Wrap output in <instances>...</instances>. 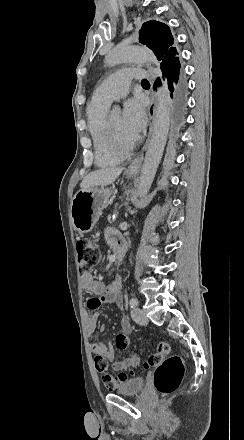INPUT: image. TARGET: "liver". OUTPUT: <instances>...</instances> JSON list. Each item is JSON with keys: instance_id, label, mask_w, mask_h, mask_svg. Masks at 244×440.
I'll return each instance as SVG.
<instances>
[{"instance_id": "liver-1", "label": "liver", "mask_w": 244, "mask_h": 440, "mask_svg": "<svg viewBox=\"0 0 244 440\" xmlns=\"http://www.w3.org/2000/svg\"><path fill=\"white\" fill-rule=\"evenodd\" d=\"M123 170L124 168H101V170L90 172L83 178L80 188L87 190V188H96V186H109L117 180Z\"/></svg>"}]
</instances>
